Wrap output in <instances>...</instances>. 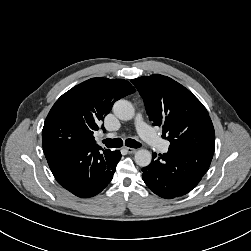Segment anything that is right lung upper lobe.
I'll list each match as a JSON object with an SVG mask.
<instances>
[{
    "mask_svg": "<svg viewBox=\"0 0 251 251\" xmlns=\"http://www.w3.org/2000/svg\"><path fill=\"white\" fill-rule=\"evenodd\" d=\"M135 91L124 79H89L67 91L55 102L44 125L52 119H65L78 128L83 146L98 147L93 132L100 128V123L114 102ZM102 129L105 131L103 125Z\"/></svg>",
    "mask_w": 251,
    "mask_h": 251,
    "instance_id": "obj_1",
    "label": "right lung upper lobe"
}]
</instances>
